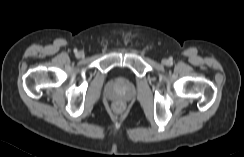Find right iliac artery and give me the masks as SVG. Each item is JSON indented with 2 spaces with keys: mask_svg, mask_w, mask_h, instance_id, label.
<instances>
[{
  "mask_svg": "<svg viewBox=\"0 0 244 157\" xmlns=\"http://www.w3.org/2000/svg\"><path fill=\"white\" fill-rule=\"evenodd\" d=\"M74 53L77 54L78 53V50L77 49H74Z\"/></svg>",
  "mask_w": 244,
  "mask_h": 157,
  "instance_id": "82829eb1",
  "label": "right iliac artery"
}]
</instances>
